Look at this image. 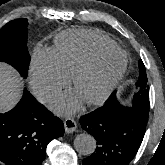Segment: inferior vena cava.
I'll use <instances>...</instances> for the list:
<instances>
[{
    "instance_id": "1",
    "label": "inferior vena cava",
    "mask_w": 165,
    "mask_h": 165,
    "mask_svg": "<svg viewBox=\"0 0 165 165\" xmlns=\"http://www.w3.org/2000/svg\"><path fill=\"white\" fill-rule=\"evenodd\" d=\"M58 89L53 88H42L37 91L36 96L41 102H46L52 98L53 95L57 94Z\"/></svg>"
}]
</instances>
